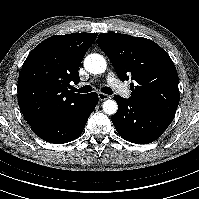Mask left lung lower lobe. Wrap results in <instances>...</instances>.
Masks as SVG:
<instances>
[{
    "label": "left lung lower lobe",
    "instance_id": "obj_1",
    "mask_svg": "<svg viewBox=\"0 0 199 199\" xmlns=\"http://www.w3.org/2000/svg\"><path fill=\"white\" fill-rule=\"evenodd\" d=\"M118 104L112 122L119 135L135 144L155 141L170 125L173 116L147 108L133 100L114 96Z\"/></svg>",
    "mask_w": 199,
    "mask_h": 199
}]
</instances>
